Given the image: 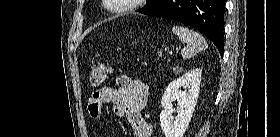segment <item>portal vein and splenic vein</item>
Segmentation results:
<instances>
[{
	"instance_id": "portal-vein-and-splenic-vein-1",
	"label": "portal vein and splenic vein",
	"mask_w": 280,
	"mask_h": 137,
	"mask_svg": "<svg viewBox=\"0 0 280 137\" xmlns=\"http://www.w3.org/2000/svg\"><path fill=\"white\" fill-rule=\"evenodd\" d=\"M176 50H178V48H177ZM169 54H170V55H172V54H173V52H172V51H169Z\"/></svg>"
}]
</instances>
